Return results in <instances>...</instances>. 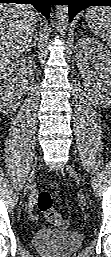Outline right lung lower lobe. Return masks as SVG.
Returning a JSON list of instances; mask_svg holds the SVG:
<instances>
[{
	"label": "right lung lower lobe",
	"instance_id": "98d812e1",
	"mask_svg": "<svg viewBox=\"0 0 111 257\" xmlns=\"http://www.w3.org/2000/svg\"><path fill=\"white\" fill-rule=\"evenodd\" d=\"M53 0H0V3H19L32 4L39 12H41L47 19Z\"/></svg>",
	"mask_w": 111,
	"mask_h": 257
}]
</instances>
